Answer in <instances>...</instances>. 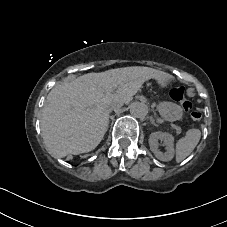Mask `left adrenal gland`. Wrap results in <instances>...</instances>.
<instances>
[{
	"label": "left adrenal gland",
	"mask_w": 227,
	"mask_h": 227,
	"mask_svg": "<svg viewBox=\"0 0 227 227\" xmlns=\"http://www.w3.org/2000/svg\"><path fill=\"white\" fill-rule=\"evenodd\" d=\"M150 121H151V124H153L154 126H158V124L155 123V120L152 117H150Z\"/></svg>",
	"instance_id": "1"
}]
</instances>
